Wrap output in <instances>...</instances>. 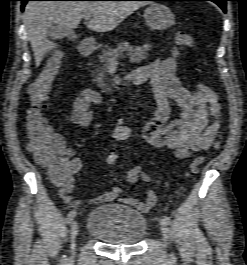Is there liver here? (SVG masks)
Returning a JSON list of instances; mask_svg holds the SVG:
<instances>
[{
    "mask_svg": "<svg viewBox=\"0 0 247 265\" xmlns=\"http://www.w3.org/2000/svg\"><path fill=\"white\" fill-rule=\"evenodd\" d=\"M142 1H29L24 11V25L34 52L36 66L57 45L46 38L52 25L77 28L84 16L92 15L87 27L95 32L115 29Z\"/></svg>",
    "mask_w": 247,
    "mask_h": 265,
    "instance_id": "6515ba94",
    "label": "liver"
}]
</instances>
